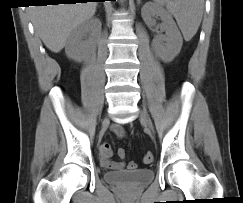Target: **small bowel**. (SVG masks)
<instances>
[{
  "instance_id": "1",
  "label": "small bowel",
  "mask_w": 243,
  "mask_h": 203,
  "mask_svg": "<svg viewBox=\"0 0 243 203\" xmlns=\"http://www.w3.org/2000/svg\"><path fill=\"white\" fill-rule=\"evenodd\" d=\"M112 131L120 138L124 137L125 135L124 129L119 124H114L112 126ZM119 150H118V156L120 158H124L125 155H120ZM112 154H113V150L109 143L104 142L100 145L99 158H100L101 166L107 169L122 170L124 168V163L111 161Z\"/></svg>"
}]
</instances>
